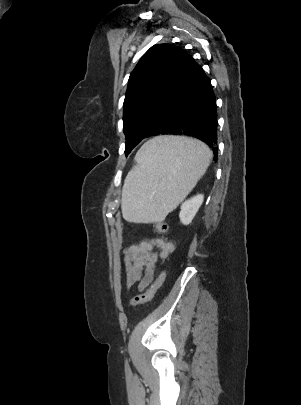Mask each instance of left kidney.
Returning a JSON list of instances; mask_svg holds the SVG:
<instances>
[{"mask_svg": "<svg viewBox=\"0 0 301 405\" xmlns=\"http://www.w3.org/2000/svg\"><path fill=\"white\" fill-rule=\"evenodd\" d=\"M203 199L204 196L202 194H197L182 203L179 213V218L182 224L189 225L192 222L203 203Z\"/></svg>", "mask_w": 301, "mask_h": 405, "instance_id": "1", "label": "left kidney"}]
</instances>
